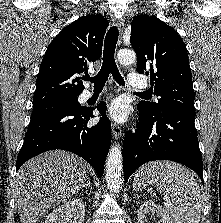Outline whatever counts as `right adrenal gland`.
Instances as JSON below:
<instances>
[{
	"mask_svg": "<svg viewBox=\"0 0 221 223\" xmlns=\"http://www.w3.org/2000/svg\"><path fill=\"white\" fill-rule=\"evenodd\" d=\"M86 187H88L90 191L92 190L90 178H88L87 182L83 185L82 191H84L86 189Z\"/></svg>",
	"mask_w": 221,
	"mask_h": 223,
	"instance_id": "2a0ac1e0",
	"label": "right adrenal gland"
}]
</instances>
